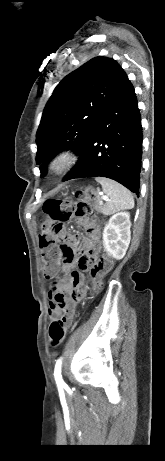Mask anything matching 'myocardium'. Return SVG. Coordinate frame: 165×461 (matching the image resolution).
<instances>
[{
	"label": "myocardium",
	"instance_id": "obj_1",
	"mask_svg": "<svg viewBox=\"0 0 165 461\" xmlns=\"http://www.w3.org/2000/svg\"><path fill=\"white\" fill-rule=\"evenodd\" d=\"M76 160V155L72 150H61L48 161V172L54 177L62 176L73 167Z\"/></svg>",
	"mask_w": 165,
	"mask_h": 461
}]
</instances>
